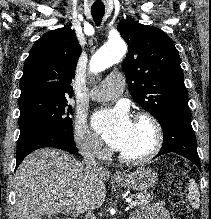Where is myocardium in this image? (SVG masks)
<instances>
[{"label":"myocardium","mask_w":211,"mask_h":219,"mask_svg":"<svg viewBox=\"0 0 211 219\" xmlns=\"http://www.w3.org/2000/svg\"><path fill=\"white\" fill-rule=\"evenodd\" d=\"M135 120L137 122H145L151 127L153 132V142L151 147L139 156H128L120 152L119 160L129 165H139L153 159L160 152L164 141L162 126L152 114L140 112L136 115Z\"/></svg>","instance_id":"1"}]
</instances>
